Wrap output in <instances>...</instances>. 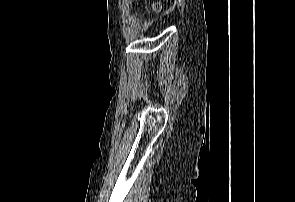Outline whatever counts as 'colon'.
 I'll use <instances>...</instances> for the list:
<instances>
[{"mask_svg": "<svg viewBox=\"0 0 295 202\" xmlns=\"http://www.w3.org/2000/svg\"><path fill=\"white\" fill-rule=\"evenodd\" d=\"M153 7H154L155 10H159L160 9V5L159 4H154Z\"/></svg>", "mask_w": 295, "mask_h": 202, "instance_id": "obj_1", "label": "colon"}]
</instances>
